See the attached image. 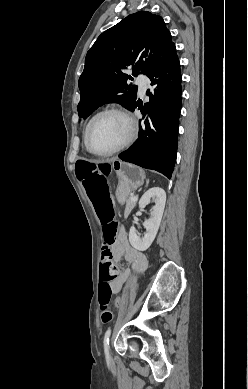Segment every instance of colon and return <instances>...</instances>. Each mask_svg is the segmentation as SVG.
Wrapping results in <instances>:
<instances>
[{
	"instance_id": "colon-1",
	"label": "colon",
	"mask_w": 248,
	"mask_h": 389,
	"mask_svg": "<svg viewBox=\"0 0 248 389\" xmlns=\"http://www.w3.org/2000/svg\"><path fill=\"white\" fill-rule=\"evenodd\" d=\"M78 177L89 200L92 202L97 217L103 229L102 263L100 267L99 306L101 321L106 324L112 321L113 312L110 308L112 283L117 277L118 268L113 261L111 246L114 244L118 223L109 192L108 175L112 171L110 161H84L80 158L76 163ZM123 294H116L114 309L120 310Z\"/></svg>"
}]
</instances>
